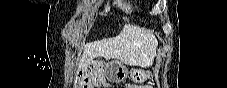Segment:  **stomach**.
I'll list each match as a JSON object with an SVG mask.
<instances>
[{"mask_svg": "<svg viewBox=\"0 0 227 88\" xmlns=\"http://www.w3.org/2000/svg\"><path fill=\"white\" fill-rule=\"evenodd\" d=\"M106 77L109 81L119 83L131 76L136 83H143L149 78V74L140 68H133L130 71L118 60L111 61L106 64Z\"/></svg>", "mask_w": 227, "mask_h": 88, "instance_id": "stomach-1", "label": "stomach"}]
</instances>
